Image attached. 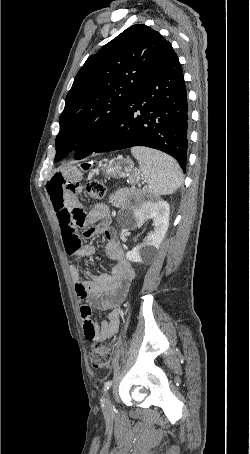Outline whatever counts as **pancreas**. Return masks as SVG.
<instances>
[{"mask_svg": "<svg viewBox=\"0 0 250 454\" xmlns=\"http://www.w3.org/2000/svg\"><path fill=\"white\" fill-rule=\"evenodd\" d=\"M141 195L140 192H134L133 196L135 198H139ZM110 203L113 205V206H119V205H125V200H124V197L122 196L121 193H115V195H112L110 197Z\"/></svg>", "mask_w": 250, "mask_h": 454, "instance_id": "obj_1", "label": "pancreas"}]
</instances>
